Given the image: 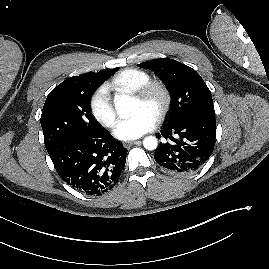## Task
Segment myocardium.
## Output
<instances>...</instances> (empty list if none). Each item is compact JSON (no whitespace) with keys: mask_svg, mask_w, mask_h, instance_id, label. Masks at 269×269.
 I'll return each instance as SVG.
<instances>
[{"mask_svg":"<svg viewBox=\"0 0 269 269\" xmlns=\"http://www.w3.org/2000/svg\"><path fill=\"white\" fill-rule=\"evenodd\" d=\"M155 93L161 96V104L156 114V119L160 121L168 113L172 102L171 92L163 81L150 79L140 86L133 95L135 99L147 101Z\"/></svg>","mask_w":269,"mask_h":269,"instance_id":"obj_1","label":"myocardium"}]
</instances>
